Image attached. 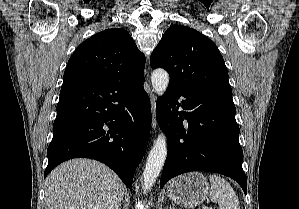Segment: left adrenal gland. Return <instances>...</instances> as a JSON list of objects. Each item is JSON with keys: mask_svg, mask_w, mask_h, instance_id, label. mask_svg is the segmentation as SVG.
<instances>
[{"mask_svg": "<svg viewBox=\"0 0 299 209\" xmlns=\"http://www.w3.org/2000/svg\"><path fill=\"white\" fill-rule=\"evenodd\" d=\"M170 209H176V208H175V205L172 204V206L170 207Z\"/></svg>", "mask_w": 299, "mask_h": 209, "instance_id": "left-adrenal-gland-1", "label": "left adrenal gland"}]
</instances>
